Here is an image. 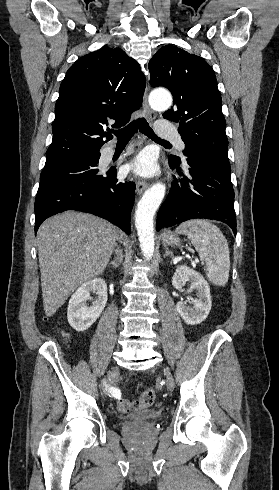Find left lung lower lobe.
<instances>
[{
  "mask_svg": "<svg viewBox=\"0 0 279 490\" xmlns=\"http://www.w3.org/2000/svg\"><path fill=\"white\" fill-rule=\"evenodd\" d=\"M169 165L182 178H175L158 212L157 231L190 219L203 218L226 223L236 236L230 164L201 153L188 156L183 167L170 158Z\"/></svg>",
  "mask_w": 279,
  "mask_h": 490,
  "instance_id": "1",
  "label": "left lung lower lobe"
}]
</instances>
